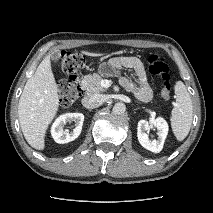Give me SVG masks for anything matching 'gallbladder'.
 <instances>
[{
  "mask_svg": "<svg viewBox=\"0 0 213 213\" xmlns=\"http://www.w3.org/2000/svg\"><path fill=\"white\" fill-rule=\"evenodd\" d=\"M61 57V54L59 51H54L52 54H51V60L53 62H57Z\"/></svg>",
  "mask_w": 213,
  "mask_h": 213,
  "instance_id": "bac80fb5",
  "label": "gallbladder"
}]
</instances>
